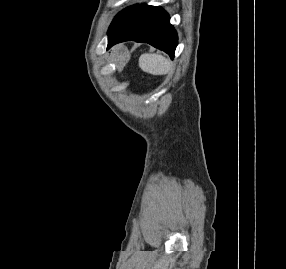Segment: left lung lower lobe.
I'll return each instance as SVG.
<instances>
[{"label":"left lung lower lobe","instance_id":"1","mask_svg":"<svg viewBox=\"0 0 286 269\" xmlns=\"http://www.w3.org/2000/svg\"><path fill=\"white\" fill-rule=\"evenodd\" d=\"M108 47L127 40L146 42L174 57L177 34L161 8L141 4L108 31Z\"/></svg>","mask_w":286,"mask_h":269}]
</instances>
